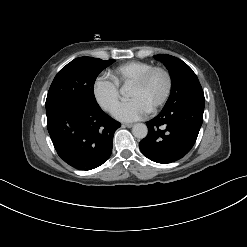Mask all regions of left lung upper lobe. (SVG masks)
<instances>
[{"label":"left lung upper lobe","mask_w":247,"mask_h":247,"mask_svg":"<svg viewBox=\"0 0 247 247\" xmlns=\"http://www.w3.org/2000/svg\"><path fill=\"white\" fill-rule=\"evenodd\" d=\"M154 58L166 66L172 80L171 94L162 110H168L188 100H205L196 74L185 62L167 54L155 55Z\"/></svg>","instance_id":"5c2ea615"}]
</instances>
